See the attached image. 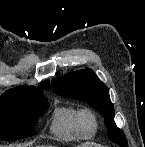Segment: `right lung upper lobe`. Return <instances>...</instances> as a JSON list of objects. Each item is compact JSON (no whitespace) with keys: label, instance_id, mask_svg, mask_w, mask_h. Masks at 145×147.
Segmentation results:
<instances>
[{"label":"right lung upper lobe","instance_id":"right-lung-upper-lobe-1","mask_svg":"<svg viewBox=\"0 0 145 147\" xmlns=\"http://www.w3.org/2000/svg\"><path fill=\"white\" fill-rule=\"evenodd\" d=\"M49 89L50 88V83L49 81L43 82L40 84V87H34V86H18L16 88L10 89L8 90L5 94L3 95H7V94H11V93H16V92H20V91H25V90H38V89Z\"/></svg>","mask_w":145,"mask_h":147}]
</instances>
